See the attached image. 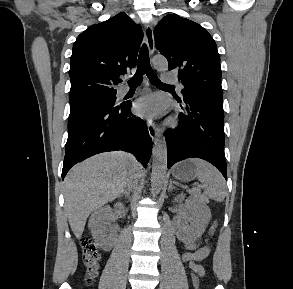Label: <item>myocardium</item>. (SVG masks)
<instances>
[{"instance_id":"myocardium-1","label":"myocardium","mask_w":293,"mask_h":289,"mask_svg":"<svg viewBox=\"0 0 293 289\" xmlns=\"http://www.w3.org/2000/svg\"><path fill=\"white\" fill-rule=\"evenodd\" d=\"M171 124L174 125L175 124V121L171 122Z\"/></svg>"}]
</instances>
